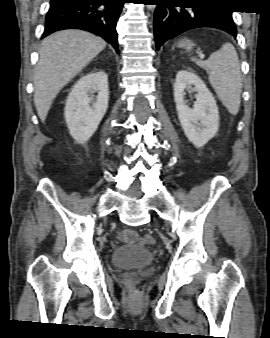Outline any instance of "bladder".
<instances>
[{"instance_id": "obj_1", "label": "bladder", "mask_w": 270, "mask_h": 338, "mask_svg": "<svg viewBox=\"0 0 270 338\" xmlns=\"http://www.w3.org/2000/svg\"><path fill=\"white\" fill-rule=\"evenodd\" d=\"M153 251L139 243L120 244L111 257V263L120 268H137L149 266L154 262Z\"/></svg>"}]
</instances>
